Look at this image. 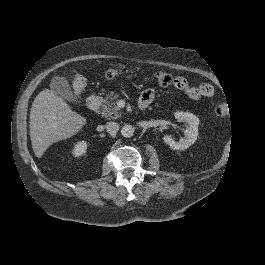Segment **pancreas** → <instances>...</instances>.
Segmentation results:
<instances>
[{"instance_id": "cf45deb5", "label": "pancreas", "mask_w": 265, "mask_h": 265, "mask_svg": "<svg viewBox=\"0 0 265 265\" xmlns=\"http://www.w3.org/2000/svg\"><path fill=\"white\" fill-rule=\"evenodd\" d=\"M118 102V95L111 92L106 95L102 101L101 115L107 117L108 119H116L121 115V110L116 108V103Z\"/></svg>"}]
</instances>
